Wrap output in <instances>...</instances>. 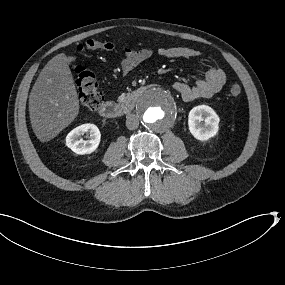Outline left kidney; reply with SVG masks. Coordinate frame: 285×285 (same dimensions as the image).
Segmentation results:
<instances>
[{
    "label": "left kidney",
    "instance_id": "5707ae66",
    "mask_svg": "<svg viewBox=\"0 0 285 285\" xmlns=\"http://www.w3.org/2000/svg\"><path fill=\"white\" fill-rule=\"evenodd\" d=\"M219 121L218 115L211 107L199 105L190 111L188 126L196 139L206 141L217 134Z\"/></svg>",
    "mask_w": 285,
    "mask_h": 285
}]
</instances>
